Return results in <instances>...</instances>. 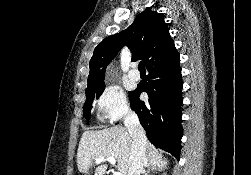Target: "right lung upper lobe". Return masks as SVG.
<instances>
[{"mask_svg": "<svg viewBox=\"0 0 251 175\" xmlns=\"http://www.w3.org/2000/svg\"><path fill=\"white\" fill-rule=\"evenodd\" d=\"M124 45L132 52V61L144 59L147 69L168 63L179 56L163 14L146 9L136 16L126 30L105 38L95 48L90 61L87 88L105 86L106 67Z\"/></svg>", "mask_w": 251, "mask_h": 175, "instance_id": "cb5924a9", "label": "right lung upper lobe"}]
</instances>
